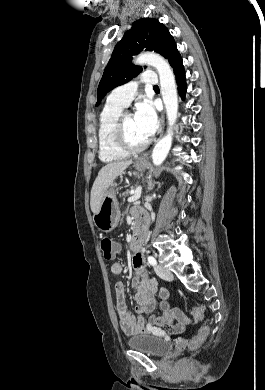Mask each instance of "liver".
I'll list each match as a JSON object with an SVG mask.
<instances>
[{"label":"liver","mask_w":265,"mask_h":390,"mask_svg":"<svg viewBox=\"0 0 265 390\" xmlns=\"http://www.w3.org/2000/svg\"><path fill=\"white\" fill-rule=\"evenodd\" d=\"M131 164L132 160L112 162L103 166L98 172V176L96 177L92 186L90 198V206L94 214L99 211L106 190L110 187L113 181Z\"/></svg>","instance_id":"1"}]
</instances>
